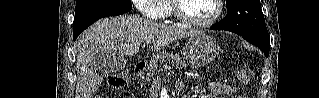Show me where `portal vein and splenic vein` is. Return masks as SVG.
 <instances>
[{
  "label": "portal vein and splenic vein",
  "instance_id": "obj_1",
  "mask_svg": "<svg viewBox=\"0 0 319 98\" xmlns=\"http://www.w3.org/2000/svg\"><path fill=\"white\" fill-rule=\"evenodd\" d=\"M151 41H152V38H149V39H147L145 42H146L147 44H149ZM170 69H171L170 66L164 65V70H170Z\"/></svg>",
  "mask_w": 319,
  "mask_h": 98
}]
</instances>
